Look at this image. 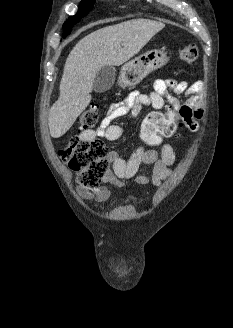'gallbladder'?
Returning a JSON list of instances; mask_svg holds the SVG:
<instances>
[{
    "instance_id": "obj_1",
    "label": "gallbladder",
    "mask_w": 233,
    "mask_h": 328,
    "mask_svg": "<svg viewBox=\"0 0 233 328\" xmlns=\"http://www.w3.org/2000/svg\"><path fill=\"white\" fill-rule=\"evenodd\" d=\"M116 70L113 66H103L96 74L93 90L101 93L109 90L115 82Z\"/></svg>"
}]
</instances>
